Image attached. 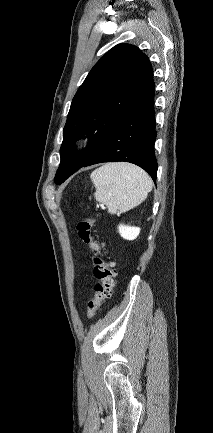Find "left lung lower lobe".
<instances>
[{
  "label": "left lung lower lobe",
  "mask_w": 213,
  "mask_h": 433,
  "mask_svg": "<svg viewBox=\"0 0 213 433\" xmlns=\"http://www.w3.org/2000/svg\"><path fill=\"white\" fill-rule=\"evenodd\" d=\"M154 81L151 74L140 92L117 119L98 151L84 165L125 161L143 168L156 183L154 153Z\"/></svg>",
  "instance_id": "1"
}]
</instances>
